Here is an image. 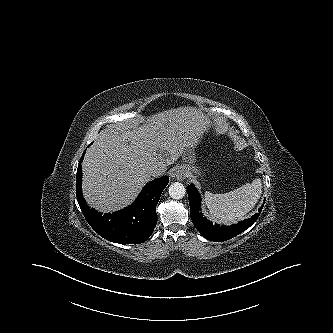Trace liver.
Returning a JSON list of instances; mask_svg holds the SVG:
<instances>
[{
  "label": "liver",
  "mask_w": 333,
  "mask_h": 333,
  "mask_svg": "<svg viewBox=\"0 0 333 333\" xmlns=\"http://www.w3.org/2000/svg\"><path fill=\"white\" fill-rule=\"evenodd\" d=\"M205 131L203 115L192 107L154 114L140 127L101 131L82 163L86 202L104 213L130 205L149 181L150 167L164 173L180 156L195 153Z\"/></svg>",
  "instance_id": "6515ba94"
}]
</instances>
